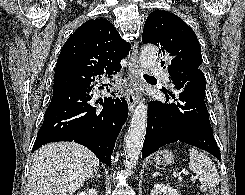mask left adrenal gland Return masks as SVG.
Returning a JSON list of instances; mask_svg holds the SVG:
<instances>
[{"label": "left adrenal gland", "mask_w": 245, "mask_h": 195, "mask_svg": "<svg viewBox=\"0 0 245 195\" xmlns=\"http://www.w3.org/2000/svg\"><path fill=\"white\" fill-rule=\"evenodd\" d=\"M161 174L159 173V172H154L153 174H152V177L153 178H156L157 176H160Z\"/></svg>", "instance_id": "left-adrenal-gland-1"}]
</instances>
